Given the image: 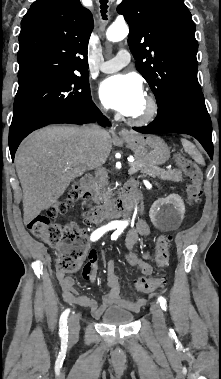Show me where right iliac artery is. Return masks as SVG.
<instances>
[{
    "label": "right iliac artery",
    "instance_id": "1",
    "mask_svg": "<svg viewBox=\"0 0 221 379\" xmlns=\"http://www.w3.org/2000/svg\"><path fill=\"white\" fill-rule=\"evenodd\" d=\"M118 227H119V225L116 223H109L105 226H102V227L96 229L91 234L90 240L94 242V241L98 240L107 231L116 229ZM69 313H70V309H66L60 317L59 327H60V336H62V337H65L68 333L67 318H68Z\"/></svg>",
    "mask_w": 221,
    "mask_h": 379
}]
</instances>
